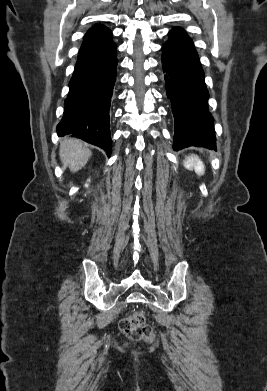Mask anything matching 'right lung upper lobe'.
I'll list each match as a JSON object with an SVG mask.
<instances>
[{
    "mask_svg": "<svg viewBox=\"0 0 267 391\" xmlns=\"http://www.w3.org/2000/svg\"><path fill=\"white\" fill-rule=\"evenodd\" d=\"M112 32L103 25H95L90 28L84 36L83 44L79 50L78 57L92 53L103 48L112 42Z\"/></svg>",
    "mask_w": 267,
    "mask_h": 391,
    "instance_id": "cb5924a9",
    "label": "right lung upper lobe"
}]
</instances>
